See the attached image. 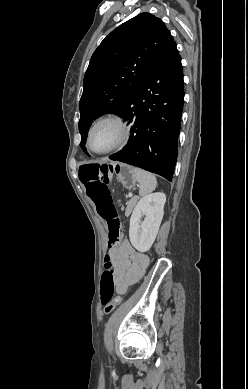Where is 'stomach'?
I'll return each mask as SVG.
<instances>
[{"instance_id":"0dacf381","label":"stomach","mask_w":248,"mask_h":389,"mask_svg":"<svg viewBox=\"0 0 248 389\" xmlns=\"http://www.w3.org/2000/svg\"><path fill=\"white\" fill-rule=\"evenodd\" d=\"M132 169L133 167L128 166L126 164L111 165V170L114 171V176H117L118 181L128 189L133 188L136 183Z\"/></svg>"}]
</instances>
